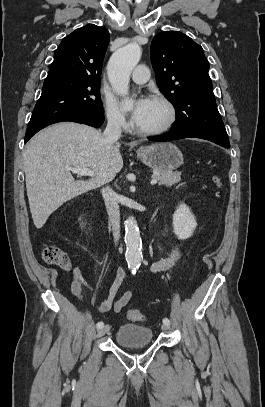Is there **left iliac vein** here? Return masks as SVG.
<instances>
[{"instance_id": "1", "label": "left iliac vein", "mask_w": 265, "mask_h": 407, "mask_svg": "<svg viewBox=\"0 0 265 407\" xmlns=\"http://www.w3.org/2000/svg\"><path fill=\"white\" fill-rule=\"evenodd\" d=\"M161 329H162L163 331H169V330H170V326H169L168 324H163V325L161 326Z\"/></svg>"}]
</instances>
